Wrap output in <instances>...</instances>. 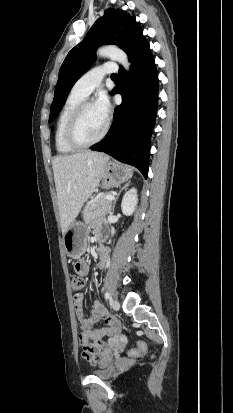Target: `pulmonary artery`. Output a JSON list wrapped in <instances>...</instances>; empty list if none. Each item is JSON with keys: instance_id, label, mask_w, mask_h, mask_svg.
<instances>
[{"instance_id": "1", "label": "pulmonary artery", "mask_w": 233, "mask_h": 413, "mask_svg": "<svg viewBox=\"0 0 233 413\" xmlns=\"http://www.w3.org/2000/svg\"><path fill=\"white\" fill-rule=\"evenodd\" d=\"M117 70L114 63H105L86 72L73 86V90L85 97L100 84L103 77L112 74Z\"/></svg>"}]
</instances>
